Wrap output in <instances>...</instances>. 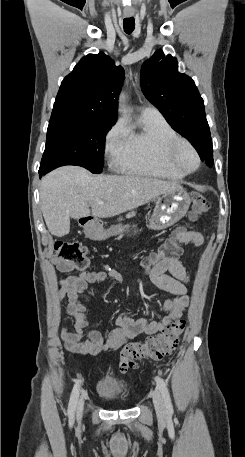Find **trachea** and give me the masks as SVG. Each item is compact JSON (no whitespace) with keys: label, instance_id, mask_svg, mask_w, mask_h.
I'll list each match as a JSON object with an SVG mask.
<instances>
[{"label":"trachea","instance_id":"trachea-1","mask_svg":"<svg viewBox=\"0 0 245 457\" xmlns=\"http://www.w3.org/2000/svg\"><path fill=\"white\" fill-rule=\"evenodd\" d=\"M134 27H135V21H134V17H129V18H124L123 20V28H124V31L127 33V34H131L134 30Z\"/></svg>","mask_w":245,"mask_h":457}]
</instances>
